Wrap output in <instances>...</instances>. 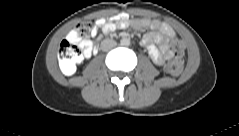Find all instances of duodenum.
I'll return each instance as SVG.
<instances>
[{
  "mask_svg": "<svg viewBox=\"0 0 239 136\" xmlns=\"http://www.w3.org/2000/svg\"><path fill=\"white\" fill-rule=\"evenodd\" d=\"M93 51L96 52V51H97V48L95 47Z\"/></svg>",
  "mask_w": 239,
  "mask_h": 136,
  "instance_id": "obj_1",
  "label": "duodenum"
}]
</instances>
